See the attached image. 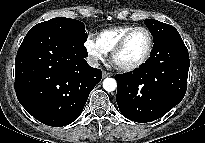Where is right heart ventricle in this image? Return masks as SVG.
Returning a JSON list of instances; mask_svg holds the SVG:
<instances>
[{
  "label": "right heart ventricle",
  "instance_id": "obj_1",
  "mask_svg": "<svg viewBox=\"0 0 205 143\" xmlns=\"http://www.w3.org/2000/svg\"><path fill=\"white\" fill-rule=\"evenodd\" d=\"M133 27V25H120L105 29L99 32L95 39L105 53H110L121 37Z\"/></svg>",
  "mask_w": 205,
  "mask_h": 143
}]
</instances>
